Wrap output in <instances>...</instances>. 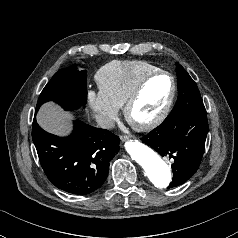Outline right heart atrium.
I'll return each instance as SVG.
<instances>
[{
	"label": "right heart atrium",
	"instance_id": "d8ad5b80",
	"mask_svg": "<svg viewBox=\"0 0 238 238\" xmlns=\"http://www.w3.org/2000/svg\"><path fill=\"white\" fill-rule=\"evenodd\" d=\"M87 103L95 113L98 124L104 129L110 128L118 118V107L101 92L88 91Z\"/></svg>",
	"mask_w": 238,
	"mask_h": 238
}]
</instances>
